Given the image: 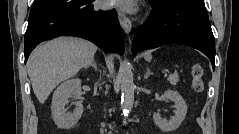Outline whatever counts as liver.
<instances>
[{"mask_svg": "<svg viewBox=\"0 0 239 134\" xmlns=\"http://www.w3.org/2000/svg\"><path fill=\"white\" fill-rule=\"evenodd\" d=\"M97 46L73 37H60L38 46L27 62L34 94L44 104L62 81L74 76L94 59Z\"/></svg>", "mask_w": 239, "mask_h": 134, "instance_id": "6515ba94", "label": "liver"}]
</instances>
